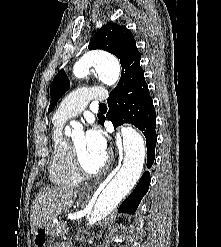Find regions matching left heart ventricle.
I'll return each instance as SVG.
<instances>
[{
    "label": "left heart ventricle",
    "mask_w": 221,
    "mask_h": 247,
    "mask_svg": "<svg viewBox=\"0 0 221 247\" xmlns=\"http://www.w3.org/2000/svg\"><path fill=\"white\" fill-rule=\"evenodd\" d=\"M72 139L84 166L90 171H94L98 168L104 156L95 153L89 148L86 143L85 134L83 132H76Z\"/></svg>",
    "instance_id": "left-heart-ventricle-1"
}]
</instances>
